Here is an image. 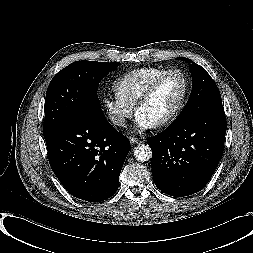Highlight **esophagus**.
<instances>
[{
	"instance_id": "obj_1",
	"label": "esophagus",
	"mask_w": 253,
	"mask_h": 253,
	"mask_svg": "<svg viewBox=\"0 0 253 253\" xmlns=\"http://www.w3.org/2000/svg\"><path fill=\"white\" fill-rule=\"evenodd\" d=\"M129 140H130L132 145H138L142 142L140 139H138L136 137H131V136L129 137Z\"/></svg>"
}]
</instances>
